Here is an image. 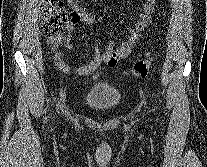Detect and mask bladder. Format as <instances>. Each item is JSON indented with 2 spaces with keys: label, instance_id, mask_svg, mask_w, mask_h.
<instances>
[{
  "label": "bladder",
  "instance_id": "obj_1",
  "mask_svg": "<svg viewBox=\"0 0 207 167\" xmlns=\"http://www.w3.org/2000/svg\"><path fill=\"white\" fill-rule=\"evenodd\" d=\"M121 98V93L116 87L109 82L102 81L88 88L84 96V104L92 110L107 111L116 107Z\"/></svg>",
  "mask_w": 207,
  "mask_h": 167
}]
</instances>
